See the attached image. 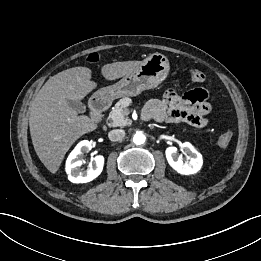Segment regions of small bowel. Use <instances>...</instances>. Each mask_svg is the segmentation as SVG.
<instances>
[{
  "instance_id": "small-bowel-1",
  "label": "small bowel",
  "mask_w": 261,
  "mask_h": 261,
  "mask_svg": "<svg viewBox=\"0 0 261 261\" xmlns=\"http://www.w3.org/2000/svg\"><path fill=\"white\" fill-rule=\"evenodd\" d=\"M207 98L208 92L204 88L190 90L182 96L174 90H168L162 99H153L147 103L144 117L159 122H184L201 128L207 125V116L211 110Z\"/></svg>"
}]
</instances>
